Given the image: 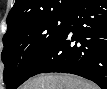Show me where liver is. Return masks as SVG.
<instances>
[{"instance_id":"liver-1","label":"liver","mask_w":107,"mask_h":89,"mask_svg":"<svg viewBox=\"0 0 107 89\" xmlns=\"http://www.w3.org/2000/svg\"><path fill=\"white\" fill-rule=\"evenodd\" d=\"M22 89H95V86L70 75L42 74L28 81Z\"/></svg>"}]
</instances>
